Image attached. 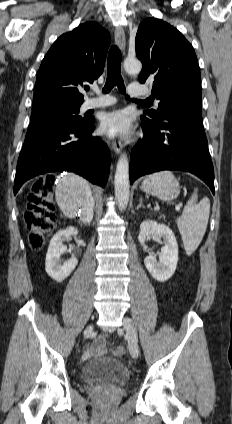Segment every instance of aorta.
Masks as SVG:
<instances>
[{
    "instance_id": "1",
    "label": "aorta",
    "mask_w": 232,
    "mask_h": 424,
    "mask_svg": "<svg viewBox=\"0 0 232 424\" xmlns=\"http://www.w3.org/2000/svg\"><path fill=\"white\" fill-rule=\"evenodd\" d=\"M124 70L129 74H138L142 70V64L135 58H127L124 61ZM115 198L120 211L126 209L130 195L129 185V162L126 154H122L117 162L114 177Z\"/></svg>"
}]
</instances>
